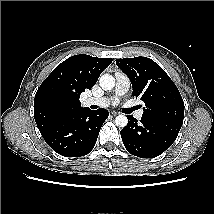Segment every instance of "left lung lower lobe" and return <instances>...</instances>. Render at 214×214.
<instances>
[{
  "instance_id": "0a47b994",
  "label": "left lung lower lobe",
  "mask_w": 214,
  "mask_h": 214,
  "mask_svg": "<svg viewBox=\"0 0 214 214\" xmlns=\"http://www.w3.org/2000/svg\"><path fill=\"white\" fill-rule=\"evenodd\" d=\"M128 124L121 131L125 148L140 158H152L168 149L182 126L173 121L142 117L140 122L131 115Z\"/></svg>"
}]
</instances>
